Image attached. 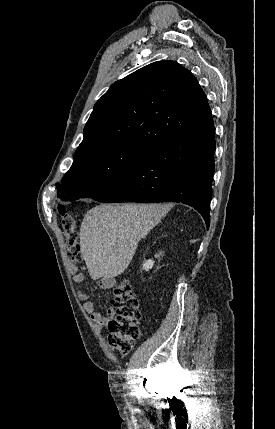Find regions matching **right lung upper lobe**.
Segmentation results:
<instances>
[{
  "label": "right lung upper lobe",
  "mask_w": 275,
  "mask_h": 429,
  "mask_svg": "<svg viewBox=\"0 0 275 429\" xmlns=\"http://www.w3.org/2000/svg\"><path fill=\"white\" fill-rule=\"evenodd\" d=\"M212 124L206 95L193 74L175 61L154 62L116 81L96 102L74 160L114 145L151 152Z\"/></svg>",
  "instance_id": "1"
}]
</instances>
